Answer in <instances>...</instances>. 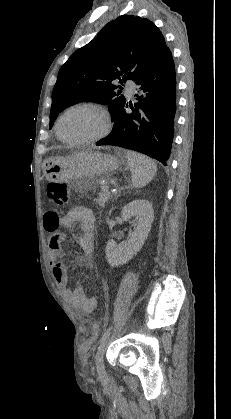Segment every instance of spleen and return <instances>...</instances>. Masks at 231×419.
Here are the masks:
<instances>
[{
	"instance_id": "spleen-1",
	"label": "spleen",
	"mask_w": 231,
	"mask_h": 419,
	"mask_svg": "<svg viewBox=\"0 0 231 419\" xmlns=\"http://www.w3.org/2000/svg\"><path fill=\"white\" fill-rule=\"evenodd\" d=\"M126 158L131 172L133 187L141 188L146 186L157 172L155 162L151 158L133 151H127Z\"/></svg>"
}]
</instances>
